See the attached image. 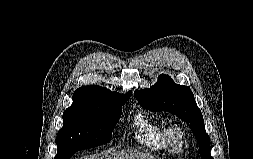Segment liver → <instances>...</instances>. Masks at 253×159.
<instances>
[{
	"label": "liver",
	"mask_w": 253,
	"mask_h": 159,
	"mask_svg": "<svg viewBox=\"0 0 253 159\" xmlns=\"http://www.w3.org/2000/svg\"><path fill=\"white\" fill-rule=\"evenodd\" d=\"M79 159H154L153 157L133 150H122L113 153H106L104 156H91Z\"/></svg>",
	"instance_id": "obj_1"
}]
</instances>
